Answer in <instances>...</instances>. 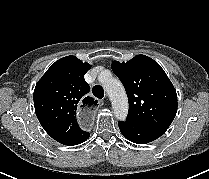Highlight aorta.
Returning a JSON list of instances; mask_svg holds the SVG:
<instances>
[{
  "label": "aorta",
  "mask_w": 209,
  "mask_h": 179,
  "mask_svg": "<svg viewBox=\"0 0 209 179\" xmlns=\"http://www.w3.org/2000/svg\"><path fill=\"white\" fill-rule=\"evenodd\" d=\"M99 79L111 100L115 117L124 121L128 115L129 106L122 83L118 79L112 78L110 72H103Z\"/></svg>",
  "instance_id": "obj_1"
}]
</instances>
